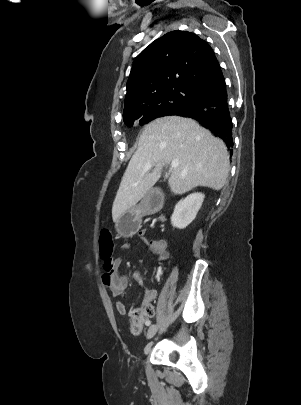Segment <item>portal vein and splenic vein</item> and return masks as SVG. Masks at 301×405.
I'll return each mask as SVG.
<instances>
[{"label": "portal vein and splenic vein", "mask_w": 301, "mask_h": 405, "mask_svg": "<svg viewBox=\"0 0 301 405\" xmlns=\"http://www.w3.org/2000/svg\"><path fill=\"white\" fill-rule=\"evenodd\" d=\"M178 165H179V161H178V160H173V161L171 162V169L177 167ZM151 167H152V164H151V163H147V164L145 165V171L149 170Z\"/></svg>", "instance_id": "obj_1"}]
</instances>
